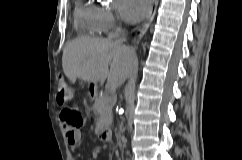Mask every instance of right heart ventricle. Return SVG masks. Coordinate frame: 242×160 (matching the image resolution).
<instances>
[{
  "mask_svg": "<svg viewBox=\"0 0 242 160\" xmlns=\"http://www.w3.org/2000/svg\"><path fill=\"white\" fill-rule=\"evenodd\" d=\"M74 21L83 34L96 36L102 33L98 7L79 0L74 11Z\"/></svg>",
  "mask_w": 242,
  "mask_h": 160,
  "instance_id": "1",
  "label": "right heart ventricle"
}]
</instances>
